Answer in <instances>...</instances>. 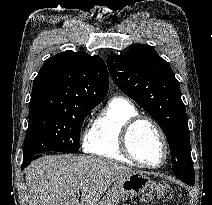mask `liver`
I'll list each match as a JSON object with an SVG mask.
<instances>
[{"label":"liver","mask_w":212,"mask_h":205,"mask_svg":"<svg viewBox=\"0 0 212 205\" xmlns=\"http://www.w3.org/2000/svg\"><path fill=\"white\" fill-rule=\"evenodd\" d=\"M132 172L131 168L103 158L45 156L26 170L29 202L30 205H98L114 181Z\"/></svg>","instance_id":"6515ba94"}]
</instances>
